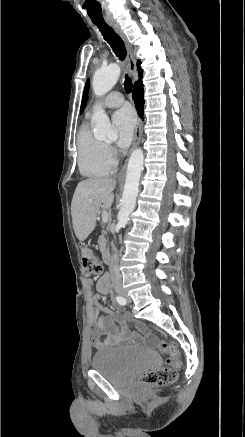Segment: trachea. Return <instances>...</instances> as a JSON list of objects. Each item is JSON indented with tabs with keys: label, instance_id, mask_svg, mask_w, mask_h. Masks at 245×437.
<instances>
[{
	"label": "trachea",
	"instance_id": "obj_1",
	"mask_svg": "<svg viewBox=\"0 0 245 437\" xmlns=\"http://www.w3.org/2000/svg\"><path fill=\"white\" fill-rule=\"evenodd\" d=\"M93 23L98 27L104 39L113 49L115 55L120 60H124L127 55L126 47L123 40L115 33L114 29L106 22L93 21ZM124 89L127 93L132 91V81L128 74L125 75Z\"/></svg>",
	"mask_w": 245,
	"mask_h": 437
}]
</instances>
